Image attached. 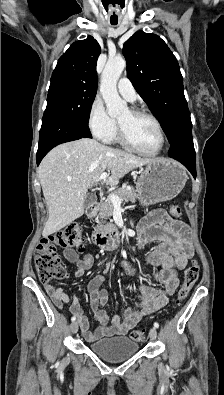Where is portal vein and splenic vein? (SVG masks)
Returning a JSON list of instances; mask_svg holds the SVG:
<instances>
[{"instance_id": "portal-vein-and-splenic-vein-1", "label": "portal vein and splenic vein", "mask_w": 224, "mask_h": 395, "mask_svg": "<svg viewBox=\"0 0 224 395\" xmlns=\"http://www.w3.org/2000/svg\"><path fill=\"white\" fill-rule=\"evenodd\" d=\"M107 176H108V174L106 172H103L100 175V177L98 179H96L95 181L99 182L101 180H105L107 178ZM108 198L111 200L114 207H120V205L122 203V199H120L118 196L113 195V194H110Z\"/></svg>"}]
</instances>
